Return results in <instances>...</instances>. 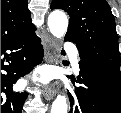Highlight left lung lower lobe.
I'll list each match as a JSON object with an SVG mask.
<instances>
[{
    "instance_id": "left-lung-lower-lobe-1",
    "label": "left lung lower lobe",
    "mask_w": 121,
    "mask_h": 113,
    "mask_svg": "<svg viewBox=\"0 0 121 113\" xmlns=\"http://www.w3.org/2000/svg\"><path fill=\"white\" fill-rule=\"evenodd\" d=\"M79 67L78 80L84 86L69 93V113H121V84L81 59Z\"/></svg>"
}]
</instances>
